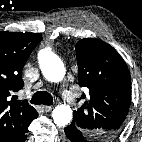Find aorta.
<instances>
[{
    "label": "aorta",
    "mask_w": 142,
    "mask_h": 142,
    "mask_svg": "<svg viewBox=\"0 0 142 142\" xmlns=\"http://www.w3.org/2000/svg\"><path fill=\"white\" fill-rule=\"evenodd\" d=\"M39 66L44 77L50 82H60L65 76L62 60L50 49H42L38 53ZM72 109L66 104L57 105L52 112V118L57 126H65L72 119Z\"/></svg>",
    "instance_id": "obj_1"
}]
</instances>
